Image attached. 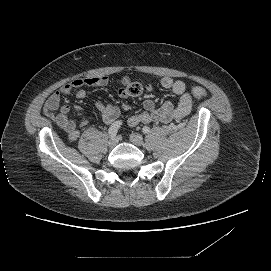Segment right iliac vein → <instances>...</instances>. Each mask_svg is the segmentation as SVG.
Masks as SVG:
<instances>
[{"mask_svg":"<svg viewBox=\"0 0 271 271\" xmlns=\"http://www.w3.org/2000/svg\"><path fill=\"white\" fill-rule=\"evenodd\" d=\"M118 143V139L116 137H113L109 140L108 145L109 147H115Z\"/></svg>","mask_w":271,"mask_h":271,"instance_id":"63e3f726","label":"right iliac vein"}]
</instances>
